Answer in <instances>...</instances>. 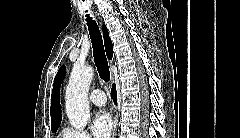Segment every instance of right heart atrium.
I'll list each match as a JSON object with an SVG mask.
<instances>
[{
    "instance_id": "obj_1",
    "label": "right heart atrium",
    "mask_w": 240,
    "mask_h": 138,
    "mask_svg": "<svg viewBox=\"0 0 240 138\" xmlns=\"http://www.w3.org/2000/svg\"><path fill=\"white\" fill-rule=\"evenodd\" d=\"M63 135L64 138H91L85 130L71 127H66L63 130Z\"/></svg>"
}]
</instances>
